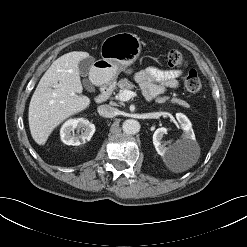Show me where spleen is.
I'll list each match as a JSON object with an SVG mask.
<instances>
[{"label": "spleen", "mask_w": 247, "mask_h": 247, "mask_svg": "<svg viewBox=\"0 0 247 247\" xmlns=\"http://www.w3.org/2000/svg\"><path fill=\"white\" fill-rule=\"evenodd\" d=\"M183 170H185V169H179V171H183Z\"/></svg>", "instance_id": "obj_1"}]
</instances>
